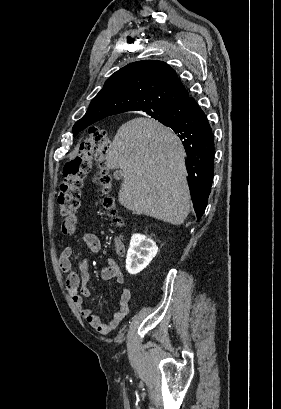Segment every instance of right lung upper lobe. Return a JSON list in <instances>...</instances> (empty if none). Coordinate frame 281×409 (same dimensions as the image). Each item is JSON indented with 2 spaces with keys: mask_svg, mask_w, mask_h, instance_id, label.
Returning a JSON list of instances; mask_svg holds the SVG:
<instances>
[{
  "mask_svg": "<svg viewBox=\"0 0 281 409\" xmlns=\"http://www.w3.org/2000/svg\"><path fill=\"white\" fill-rule=\"evenodd\" d=\"M188 98L176 72L166 63L156 60L130 63L105 82L87 113L73 128L83 130L110 115L151 112Z\"/></svg>",
  "mask_w": 281,
  "mask_h": 409,
  "instance_id": "obj_1",
  "label": "right lung upper lobe"
}]
</instances>
